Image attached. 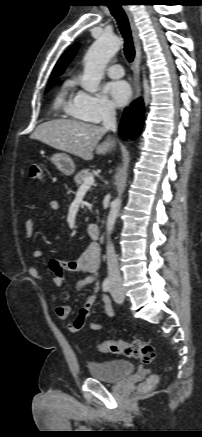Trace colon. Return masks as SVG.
Instances as JSON below:
<instances>
[{"label": "colon", "instance_id": "obj_1", "mask_svg": "<svg viewBox=\"0 0 202 437\" xmlns=\"http://www.w3.org/2000/svg\"><path fill=\"white\" fill-rule=\"evenodd\" d=\"M29 174L33 179L42 180L44 178L43 165L39 161H33L29 167ZM98 349L102 353H112L138 359L144 364L152 363L156 356L154 347L139 339H135L131 342L123 340H106L99 344ZM157 382V376L152 375L142 383L139 388L141 391H149L157 384Z\"/></svg>", "mask_w": 202, "mask_h": 437}]
</instances>
